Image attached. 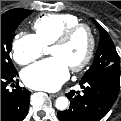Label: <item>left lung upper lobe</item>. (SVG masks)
<instances>
[{"label":"left lung upper lobe","instance_id":"1","mask_svg":"<svg viewBox=\"0 0 121 121\" xmlns=\"http://www.w3.org/2000/svg\"><path fill=\"white\" fill-rule=\"evenodd\" d=\"M93 22L99 29L100 41L93 64L84 74L82 80L96 76H108L120 79V59L114 43L105 29L94 19Z\"/></svg>","mask_w":121,"mask_h":121}]
</instances>
